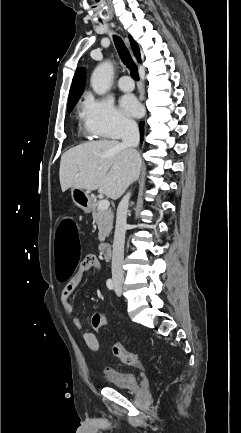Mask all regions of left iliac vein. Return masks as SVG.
<instances>
[{
    "label": "left iliac vein",
    "mask_w": 241,
    "mask_h": 433,
    "mask_svg": "<svg viewBox=\"0 0 241 433\" xmlns=\"http://www.w3.org/2000/svg\"><path fill=\"white\" fill-rule=\"evenodd\" d=\"M121 292H122L121 288L116 285V287H115V293H116V295L120 296Z\"/></svg>",
    "instance_id": "obj_1"
}]
</instances>
